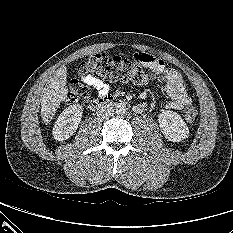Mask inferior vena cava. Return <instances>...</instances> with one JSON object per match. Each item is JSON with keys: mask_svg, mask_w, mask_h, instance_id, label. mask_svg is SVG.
<instances>
[{"mask_svg": "<svg viewBox=\"0 0 233 233\" xmlns=\"http://www.w3.org/2000/svg\"><path fill=\"white\" fill-rule=\"evenodd\" d=\"M114 109L109 105H100L97 115L101 118H109L113 115Z\"/></svg>", "mask_w": 233, "mask_h": 233, "instance_id": "obj_1", "label": "inferior vena cava"}]
</instances>
